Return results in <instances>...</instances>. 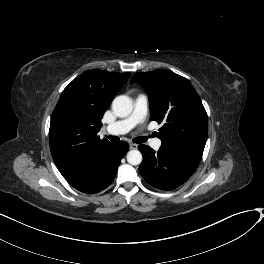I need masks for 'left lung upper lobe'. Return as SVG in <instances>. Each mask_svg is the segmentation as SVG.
Returning a JSON list of instances; mask_svg holds the SVG:
<instances>
[{
	"mask_svg": "<svg viewBox=\"0 0 264 264\" xmlns=\"http://www.w3.org/2000/svg\"><path fill=\"white\" fill-rule=\"evenodd\" d=\"M138 82L149 96L151 120L162 124L161 147L187 150L200 156L207 140L208 118L190 81L172 71L137 73Z\"/></svg>",
	"mask_w": 264,
	"mask_h": 264,
	"instance_id": "1",
	"label": "left lung upper lobe"
}]
</instances>
